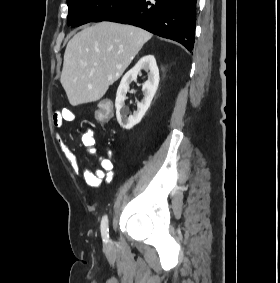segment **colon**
<instances>
[{
  "instance_id": "obj_1",
  "label": "colon",
  "mask_w": 280,
  "mask_h": 283,
  "mask_svg": "<svg viewBox=\"0 0 280 283\" xmlns=\"http://www.w3.org/2000/svg\"><path fill=\"white\" fill-rule=\"evenodd\" d=\"M112 112H115V107H111L109 101H102L97 111H94V119L98 120L99 124H108L112 120Z\"/></svg>"
}]
</instances>
